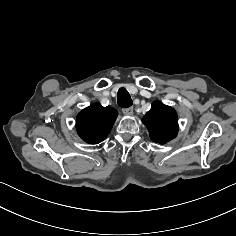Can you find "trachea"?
<instances>
[{"instance_id": "1", "label": "trachea", "mask_w": 236, "mask_h": 236, "mask_svg": "<svg viewBox=\"0 0 236 236\" xmlns=\"http://www.w3.org/2000/svg\"><path fill=\"white\" fill-rule=\"evenodd\" d=\"M117 103L122 108H128L133 104V101L125 88H120L117 94Z\"/></svg>"}]
</instances>
